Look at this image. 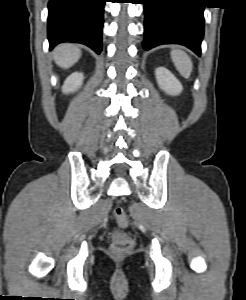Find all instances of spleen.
<instances>
[{"label":"spleen","instance_id":"obj_1","mask_svg":"<svg viewBox=\"0 0 246 300\" xmlns=\"http://www.w3.org/2000/svg\"><path fill=\"white\" fill-rule=\"evenodd\" d=\"M171 58L179 73L184 78H188L193 67L191 58L184 51L179 49H173L171 51Z\"/></svg>","mask_w":246,"mask_h":300}]
</instances>
